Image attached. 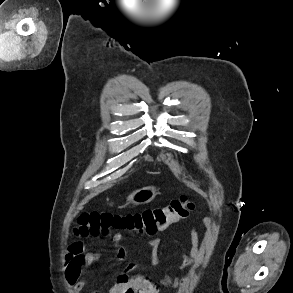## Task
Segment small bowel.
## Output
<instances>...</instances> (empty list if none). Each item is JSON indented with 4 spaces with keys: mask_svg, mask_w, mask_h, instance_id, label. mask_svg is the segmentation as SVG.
Returning <instances> with one entry per match:
<instances>
[{
    "mask_svg": "<svg viewBox=\"0 0 293 293\" xmlns=\"http://www.w3.org/2000/svg\"><path fill=\"white\" fill-rule=\"evenodd\" d=\"M203 224L206 228L211 229L213 223L210 218L206 217L203 219ZM167 226L155 231L144 232V235L148 238L147 243L151 247V252L145 253V257L149 260L151 266H156L159 263L157 249L160 245V240L155 235L165 230ZM123 238L124 235L122 233L114 234L111 237V241L114 244L113 247L102 252L87 251L83 241H75L69 245L65 260V280L75 293H82L89 286L87 281L80 280V275L87 271L88 267L94 264H101L104 261L105 255H110L112 258L121 261L126 260V250L121 245ZM190 240V252L181 255L182 263L179 267L180 271H184L199 261L205 251V243L201 241L200 233L195 227L191 229ZM185 281L186 278H171L166 276L160 281V285L178 287ZM90 293H159V284L144 276L137 275L129 277L122 274L117 277L116 282L106 292L93 290Z\"/></svg>",
    "mask_w": 293,
    "mask_h": 293,
    "instance_id": "obj_1",
    "label": "small bowel"
}]
</instances>
